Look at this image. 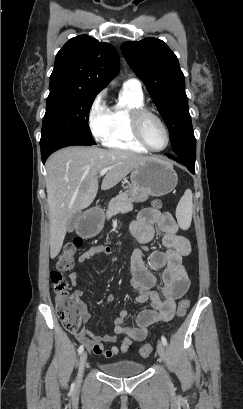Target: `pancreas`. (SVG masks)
Here are the masks:
<instances>
[{
    "mask_svg": "<svg viewBox=\"0 0 243 409\" xmlns=\"http://www.w3.org/2000/svg\"><path fill=\"white\" fill-rule=\"evenodd\" d=\"M134 196H131L128 192H122L113 198L109 204L106 211L107 219L118 213H126L133 210Z\"/></svg>",
    "mask_w": 243,
    "mask_h": 409,
    "instance_id": "obj_1",
    "label": "pancreas"
}]
</instances>
